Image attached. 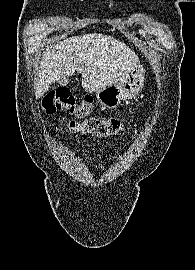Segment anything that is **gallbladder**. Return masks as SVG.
<instances>
[{
  "label": "gallbladder",
  "mask_w": 195,
  "mask_h": 270,
  "mask_svg": "<svg viewBox=\"0 0 195 270\" xmlns=\"http://www.w3.org/2000/svg\"><path fill=\"white\" fill-rule=\"evenodd\" d=\"M69 83L68 79H60L59 81H57L58 86H65Z\"/></svg>",
  "instance_id": "bac80fb5"
}]
</instances>
